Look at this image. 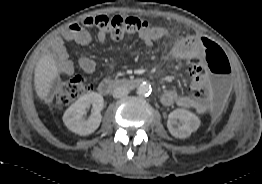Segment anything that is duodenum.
Returning a JSON list of instances; mask_svg holds the SVG:
<instances>
[{
  "instance_id": "1",
  "label": "duodenum",
  "mask_w": 262,
  "mask_h": 184,
  "mask_svg": "<svg viewBox=\"0 0 262 184\" xmlns=\"http://www.w3.org/2000/svg\"><path fill=\"white\" fill-rule=\"evenodd\" d=\"M143 83V78L105 79L99 83L98 91L102 95H108L116 88H133Z\"/></svg>"
}]
</instances>
